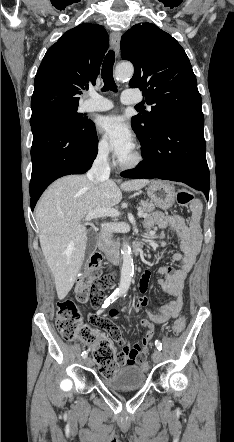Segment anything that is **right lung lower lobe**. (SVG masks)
<instances>
[{
  "mask_svg": "<svg viewBox=\"0 0 234 442\" xmlns=\"http://www.w3.org/2000/svg\"><path fill=\"white\" fill-rule=\"evenodd\" d=\"M32 176L30 205L33 211L43 191L56 179L88 171L97 155L95 125L86 132L74 131L59 122L31 126Z\"/></svg>",
  "mask_w": 234,
  "mask_h": 442,
  "instance_id": "right-lung-lower-lobe-1",
  "label": "right lung lower lobe"
}]
</instances>
